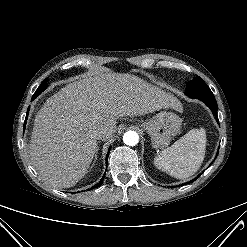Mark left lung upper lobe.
<instances>
[{
  "mask_svg": "<svg viewBox=\"0 0 247 247\" xmlns=\"http://www.w3.org/2000/svg\"><path fill=\"white\" fill-rule=\"evenodd\" d=\"M185 95L190 98L214 97L202 78L196 77L186 84Z\"/></svg>",
  "mask_w": 247,
  "mask_h": 247,
  "instance_id": "left-lung-upper-lobe-1",
  "label": "left lung upper lobe"
}]
</instances>
